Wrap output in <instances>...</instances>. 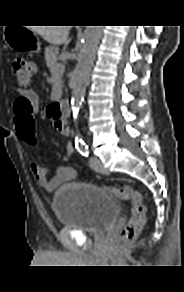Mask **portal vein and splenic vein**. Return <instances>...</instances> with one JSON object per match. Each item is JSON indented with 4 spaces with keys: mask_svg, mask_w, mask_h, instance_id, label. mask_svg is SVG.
Listing matches in <instances>:
<instances>
[{
    "mask_svg": "<svg viewBox=\"0 0 184 292\" xmlns=\"http://www.w3.org/2000/svg\"><path fill=\"white\" fill-rule=\"evenodd\" d=\"M64 69H65V66L63 64H60L57 66L58 71H64Z\"/></svg>",
    "mask_w": 184,
    "mask_h": 292,
    "instance_id": "1",
    "label": "portal vein and splenic vein"
}]
</instances>
